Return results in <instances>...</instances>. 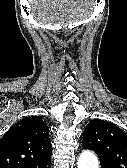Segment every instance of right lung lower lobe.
I'll return each instance as SVG.
<instances>
[{
  "instance_id": "98d812e1",
  "label": "right lung lower lobe",
  "mask_w": 127,
  "mask_h": 168,
  "mask_svg": "<svg viewBox=\"0 0 127 168\" xmlns=\"http://www.w3.org/2000/svg\"><path fill=\"white\" fill-rule=\"evenodd\" d=\"M19 168H27V167H19ZM43 168H51V163L48 164L47 166L43 167Z\"/></svg>"
}]
</instances>
